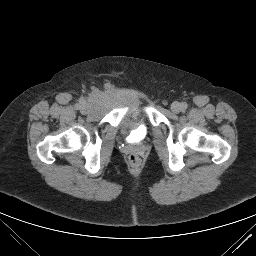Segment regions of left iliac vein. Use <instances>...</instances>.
I'll return each mask as SVG.
<instances>
[{
	"label": "left iliac vein",
	"mask_w": 256,
	"mask_h": 256,
	"mask_svg": "<svg viewBox=\"0 0 256 256\" xmlns=\"http://www.w3.org/2000/svg\"><path fill=\"white\" fill-rule=\"evenodd\" d=\"M171 110L174 112V113H179L181 111V104L178 103V102H173L171 104Z\"/></svg>",
	"instance_id": "obj_1"
}]
</instances>
